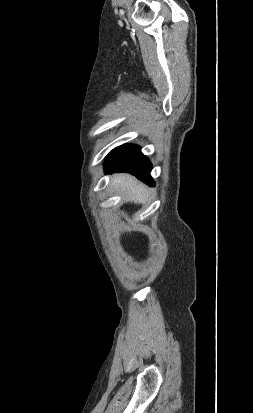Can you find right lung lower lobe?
I'll return each instance as SVG.
<instances>
[{
  "label": "right lung lower lobe",
  "mask_w": 253,
  "mask_h": 413,
  "mask_svg": "<svg viewBox=\"0 0 253 413\" xmlns=\"http://www.w3.org/2000/svg\"><path fill=\"white\" fill-rule=\"evenodd\" d=\"M152 165L135 145H122L113 150L104 162L105 172H129L144 182L154 185L150 176Z\"/></svg>",
  "instance_id": "1"
}]
</instances>
